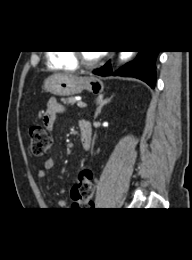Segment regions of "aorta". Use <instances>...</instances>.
<instances>
[{
	"mask_svg": "<svg viewBox=\"0 0 192 260\" xmlns=\"http://www.w3.org/2000/svg\"><path fill=\"white\" fill-rule=\"evenodd\" d=\"M133 51H121L120 52V59L127 60L133 55Z\"/></svg>",
	"mask_w": 192,
	"mask_h": 260,
	"instance_id": "obj_1",
	"label": "aorta"
}]
</instances>
